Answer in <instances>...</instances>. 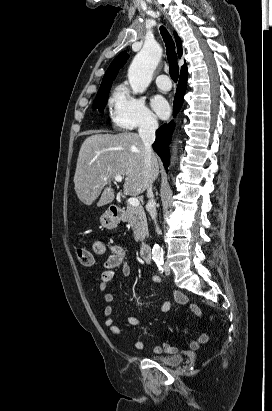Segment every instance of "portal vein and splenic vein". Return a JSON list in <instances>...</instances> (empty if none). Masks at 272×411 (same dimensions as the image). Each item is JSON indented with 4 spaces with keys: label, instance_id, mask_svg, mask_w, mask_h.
Here are the masks:
<instances>
[{
    "label": "portal vein and splenic vein",
    "instance_id": "1",
    "mask_svg": "<svg viewBox=\"0 0 272 411\" xmlns=\"http://www.w3.org/2000/svg\"><path fill=\"white\" fill-rule=\"evenodd\" d=\"M107 179H108L107 176H104V177H103V180L106 181ZM114 179H115L117 182H122L123 177H122L121 175H115V176H114ZM128 203H129L131 206H133V207H138V206L140 205V202H139L138 198H136V197H130V198L128 199Z\"/></svg>",
    "mask_w": 272,
    "mask_h": 411
}]
</instances>
